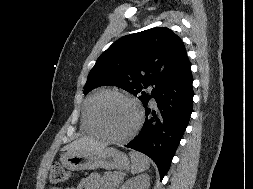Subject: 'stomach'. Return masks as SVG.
Instances as JSON below:
<instances>
[{"mask_svg":"<svg viewBox=\"0 0 253 189\" xmlns=\"http://www.w3.org/2000/svg\"><path fill=\"white\" fill-rule=\"evenodd\" d=\"M61 164L72 171L93 170L96 168L126 170L130 166L126 154L114 148H105L100 152L64 153Z\"/></svg>","mask_w":253,"mask_h":189,"instance_id":"stomach-1","label":"stomach"}]
</instances>
